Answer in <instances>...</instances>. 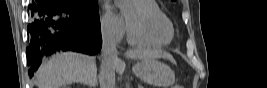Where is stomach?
Segmentation results:
<instances>
[{
    "label": "stomach",
    "mask_w": 267,
    "mask_h": 88,
    "mask_svg": "<svg viewBox=\"0 0 267 88\" xmlns=\"http://www.w3.org/2000/svg\"><path fill=\"white\" fill-rule=\"evenodd\" d=\"M133 72L142 81L157 87L167 88L174 82L173 71L156 59L141 60L134 65Z\"/></svg>",
    "instance_id": "0dacf381"
}]
</instances>
